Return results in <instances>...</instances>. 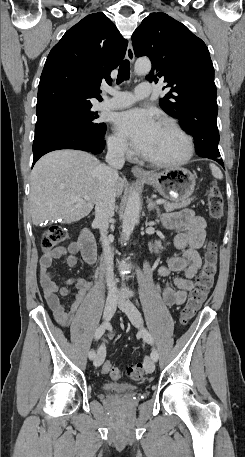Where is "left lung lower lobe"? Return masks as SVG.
<instances>
[{
	"instance_id": "0a47b994",
	"label": "left lung lower lobe",
	"mask_w": 245,
	"mask_h": 457,
	"mask_svg": "<svg viewBox=\"0 0 245 457\" xmlns=\"http://www.w3.org/2000/svg\"><path fill=\"white\" fill-rule=\"evenodd\" d=\"M181 128L193 136L198 156L212 159L224 167L218 150L219 132L216 118L203 114Z\"/></svg>"
}]
</instances>
